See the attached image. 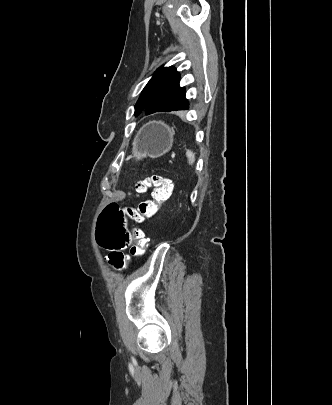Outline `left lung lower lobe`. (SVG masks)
<instances>
[{
    "label": "left lung lower lobe",
    "mask_w": 332,
    "mask_h": 405,
    "mask_svg": "<svg viewBox=\"0 0 332 405\" xmlns=\"http://www.w3.org/2000/svg\"><path fill=\"white\" fill-rule=\"evenodd\" d=\"M155 112H169V111L155 110V108H154L152 105L148 106V107L145 109V113H146L147 115L152 114V113H155Z\"/></svg>",
    "instance_id": "0a47b994"
}]
</instances>
